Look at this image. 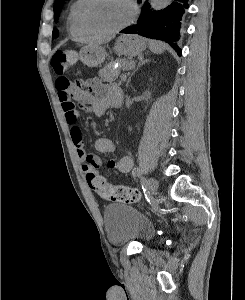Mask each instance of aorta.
<instances>
[{"mask_svg":"<svg viewBox=\"0 0 245 300\" xmlns=\"http://www.w3.org/2000/svg\"><path fill=\"white\" fill-rule=\"evenodd\" d=\"M171 0H150V5L153 10H161L169 5Z\"/></svg>","mask_w":245,"mask_h":300,"instance_id":"762f6f07","label":"aorta"}]
</instances>
